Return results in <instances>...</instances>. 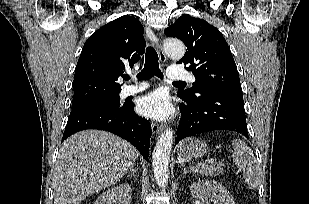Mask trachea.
I'll list each match as a JSON object with an SVG mask.
<instances>
[{
  "label": "trachea",
  "instance_id": "trachea-1",
  "mask_svg": "<svg viewBox=\"0 0 309 204\" xmlns=\"http://www.w3.org/2000/svg\"><path fill=\"white\" fill-rule=\"evenodd\" d=\"M157 76L159 78H163V74L159 68V62H158V55L156 50L149 46L146 49L145 54V64L143 70L137 75L138 79L140 80H146L151 76ZM124 79H129V76H124ZM174 84H185V82L177 81L173 82Z\"/></svg>",
  "mask_w": 309,
  "mask_h": 204
}]
</instances>
